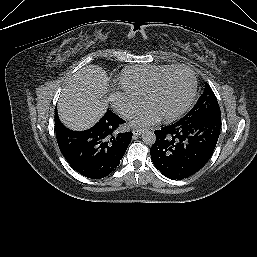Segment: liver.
Returning a JSON list of instances; mask_svg holds the SVG:
<instances>
[{
    "label": "liver",
    "mask_w": 257,
    "mask_h": 257,
    "mask_svg": "<svg viewBox=\"0 0 257 257\" xmlns=\"http://www.w3.org/2000/svg\"><path fill=\"white\" fill-rule=\"evenodd\" d=\"M108 76L97 65H86L77 71L61 92L58 113L70 129L85 130L92 127L105 114Z\"/></svg>",
    "instance_id": "obj_1"
}]
</instances>
